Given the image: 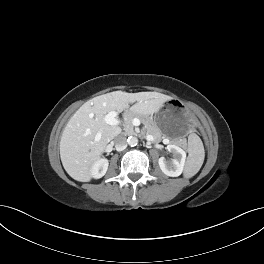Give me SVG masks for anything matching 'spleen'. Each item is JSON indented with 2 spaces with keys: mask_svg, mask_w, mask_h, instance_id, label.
Masks as SVG:
<instances>
[{
  "mask_svg": "<svg viewBox=\"0 0 264 264\" xmlns=\"http://www.w3.org/2000/svg\"><path fill=\"white\" fill-rule=\"evenodd\" d=\"M188 160L184 170L185 178H191L200 170L204 157L205 151L203 143L200 137L196 134H190L188 137Z\"/></svg>",
  "mask_w": 264,
  "mask_h": 264,
  "instance_id": "obj_1",
  "label": "spleen"
}]
</instances>
